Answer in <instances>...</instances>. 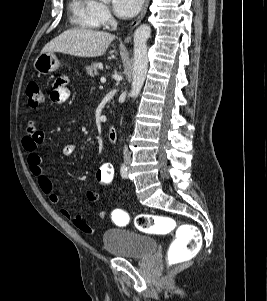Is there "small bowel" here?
Masks as SVG:
<instances>
[{
	"instance_id": "c3829d8e",
	"label": "small bowel",
	"mask_w": 267,
	"mask_h": 301,
	"mask_svg": "<svg viewBox=\"0 0 267 301\" xmlns=\"http://www.w3.org/2000/svg\"><path fill=\"white\" fill-rule=\"evenodd\" d=\"M70 97V90L68 88V78L61 76L53 83V89L50 94V99L55 104H63ZM43 140V134L36 127L34 121H30L26 133L22 139V147L27 153V162L32 175L37 178L38 185L42 192L49 197V200L53 204H59L61 199L56 193L53 181L44 172L42 168V158L38 153V147ZM76 150L75 144H67L63 148V154L65 156H71ZM86 198L89 202H95L98 200V193L95 191H88ZM61 214L67 218L71 217V213L67 209H61ZM99 219H104L106 216L105 211H100L96 214ZM75 226L82 232L87 234H93L94 229L87 224L81 217L74 218Z\"/></svg>"
}]
</instances>
